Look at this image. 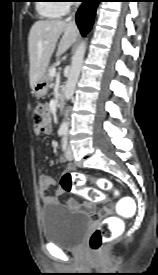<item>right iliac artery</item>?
I'll list each match as a JSON object with an SVG mask.
<instances>
[{
	"instance_id": "obj_1",
	"label": "right iliac artery",
	"mask_w": 158,
	"mask_h": 275,
	"mask_svg": "<svg viewBox=\"0 0 158 275\" xmlns=\"http://www.w3.org/2000/svg\"><path fill=\"white\" fill-rule=\"evenodd\" d=\"M59 136H62V135H64L65 134V132H63V131H59Z\"/></svg>"
}]
</instances>
